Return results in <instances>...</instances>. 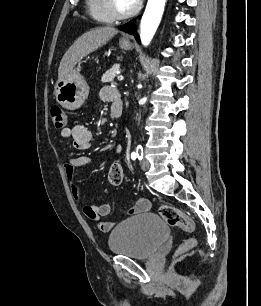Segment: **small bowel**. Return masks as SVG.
Masks as SVG:
<instances>
[{
  "mask_svg": "<svg viewBox=\"0 0 261 306\" xmlns=\"http://www.w3.org/2000/svg\"><path fill=\"white\" fill-rule=\"evenodd\" d=\"M100 96L102 100L110 102L112 105L118 103L121 105V100L118 92L111 87H104L101 90ZM63 139H71L73 147L77 150H86L91 146L92 132L84 125H74L72 128H65L61 131ZM121 147H117V152H120ZM91 163L88 156L68 157L65 164V174L69 180H72L75 175V170L79 167L87 166ZM72 193L76 199L80 198L81 190L78 185L72 186ZM150 203L147 199L140 198L135 205L129 210V214H136L148 210ZM84 214L92 221L97 222L98 228L103 232H108L114 227L112 221H101L102 217H106L111 212L110 204L102 205H86L83 207Z\"/></svg>",
  "mask_w": 261,
  "mask_h": 306,
  "instance_id": "c3829d8e",
  "label": "small bowel"
}]
</instances>
